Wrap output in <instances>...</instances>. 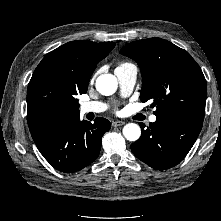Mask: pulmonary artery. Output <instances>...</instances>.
Wrapping results in <instances>:
<instances>
[{
    "label": "pulmonary artery",
    "mask_w": 221,
    "mask_h": 221,
    "mask_svg": "<svg viewBox=\"0 0 221 221\" xmlns=\"http://www.w3.org/2000/svg\"><path fill=\"white\" fill-rule=\"evenodd\" d=\"M115 75L119 82L121 94L123 96H128L132 92L136 83L137 68L131 63H126L115 69ZM106 109L107 105L99 101L85 102L80 106V110L83 114L101 113ZM156 120L157 117L155 115L149 117L151 123H154Z\"/></svg>",
    "instance_id": "e3ab8cb5"
}]
</instances>
